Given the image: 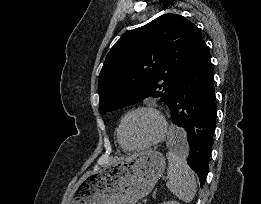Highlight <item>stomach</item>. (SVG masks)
<instances>
[{
    "instance_id": "stomach-1",
    "label": "stomach",
    "mask_w": 261,
    "mask_h": 204,
    "mask_svg": "<svg viewBox=\"0 0 261 204\" xmlns=\"http://www.w3.org/2000/svg\"><path fill=\"white\" fill-rule=\"evenodd\" d=\"M165 165L164 156L150 150L88 173L77 183L70 204H136L152 191Z\"/></svg>"
}]
</instances>
